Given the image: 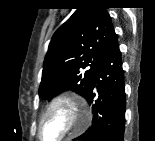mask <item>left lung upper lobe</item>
I'll list each match as a JSON object with an SVG mask.
<instances>
[{"mask_svg": "<svg viewBox=\"0 0 155 141\" xmlns=\"http://www.w3.org/2000/svg\"><path fill=\"white\" fill-rule=\"evenodd\" d=\"M106 9L103 0H80L54 33L44 60L40 98L49 100L64 90L86 96L100 59L116 35Z\"/></svg>", "mask_w": 155, "mask_h": 141, "instance_id": "5c2ea615", "label": "left lung upper lobe"}]
</instances>
